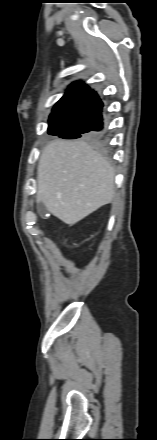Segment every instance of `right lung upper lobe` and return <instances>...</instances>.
Here are the masks:
<instances>
[{
  "label": "right lung upper lobe",
  "instance_id": "obj_1",
  "mask_svg": "<svg viewBox=\"0 0 157 440\" xmlns=\"http://www.w3.org/2000/svg\"><path fill=\"white\" fill-rule=\"evenodd\" d=\"M103 103L94 90L86 84L75 82L55 104L49 121L76 120L83 127H92L102 116Z\"/></svg>",
  "mask_w": 157,
  "mask_h": 440
}]
</instances>
